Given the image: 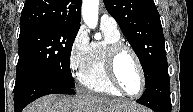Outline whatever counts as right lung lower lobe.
<instances>
[{
	"label": "right lung lower lobe",
	"mask_w": 193,
	"mask_h": 112,
	"mask_svg": "<svg viewBox=\"0 0 193 112\" xmlns=\"http://www.w3.org/2000/svg\"><path fill=\"white\" fill-rule=\"evenodd\" d=\"M48 94H75V90L46 77H29L15 84L14 110L21 112L25 106L35 99Z\"/></svg>",
	"instance_id": "obj_1"
}]
</instances>
